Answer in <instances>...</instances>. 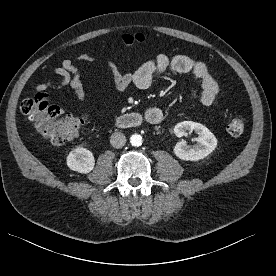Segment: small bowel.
<instances>
[{
    "label": "small bowel",
    "instance_id": "c3829d8e",
    "mask_svg": "<svg viewBox=\"0 0 276 276\" xmlns=\"http://www.w3.org/2000/svg\"><path fill=\"white\" fill-rule=\"evenodd\" d=\"M76 59L82 62L94 61V58L89 54H80ZM107 65L114 87L118 91H123L132 85L140 90H145L150 87L156 76L171 70L180 74H192L200 82L202 88L200 106L202 108L212 109L217 105L219 92L217 80L211 75L206 63L187 55L180 54L169 57L165 54H160L155 59L141 65L133 73H121L116 62L113 60H109ZM53 72L59 79L57 81L37 84V92H44L48 89H60L69 85L74 90L76 97L80 101H85L80 72L71 60L64 59L60 66L56 67ZM145 117L153 121L154 124H157L162 119V111L157 107H150L145 111Z\"/></svg>",
    "mask_w": 276,
    "mask_h": 276
}]
</instances>
